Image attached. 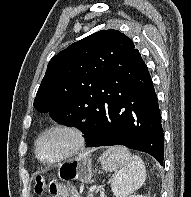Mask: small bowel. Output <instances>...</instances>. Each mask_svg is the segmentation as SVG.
I'll use <instances>...</instances> for the list:
<instances>
[{"mask_svg":"<svg viewBox=\"0 0 191 197\" xmlns=\"http://www.w3.org/2000/svg\"><path fill=\"white\" fill-rule=\"evenodd\" d=\"M67 191H68L67 197H77L76 193L73 190H67ZM55 197H63V196L55 195Z\"/></svg>","mask_w":191,"mask_h":197,"instance_id":"obj_1","label":"small bowel"}]
</instances>
